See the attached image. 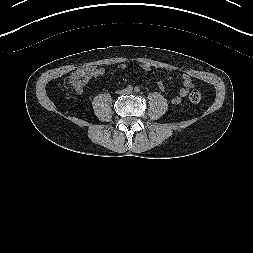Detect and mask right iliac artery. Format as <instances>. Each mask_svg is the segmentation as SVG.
<instances>
[{
    "label": "right iliac artery",
    "mask_w": 253,
    "mask_h": 253,
    "mask_svg": "<svg viewBox=\"0 0 253 253\" xmlns=\"http://www.w3.org/2000/svg\"><path fill=\"white\" fill-rule=\"evenodd\" d=\"M128 89H129V90H132V89H133V87H132L131 85H129V86H128Z\"/></svg>",
    "instance_id": "82829eb1"
}]
</instances>
